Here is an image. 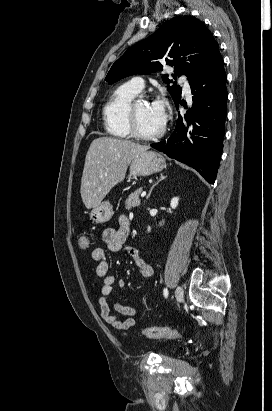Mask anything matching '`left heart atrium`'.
Instances as JSON below:
<instances>
[{"label": "left heart atrium", "mask_w": 272, "mask_h": 411, "mask_svg": "<svg viewBox=\"0 0 272 411\" xmlns=\"http://www.w3.org/2000/svg\"><path fill=\"white\" fill-rule=\"evenodd\" d=\"M152 111L155 117L160 121L162 124L165 122L166 119V111H165V102L163 99H157L151 103Z\"/></svg>", "instance_id": "left-heart-atrium-1"}]
</instances>
